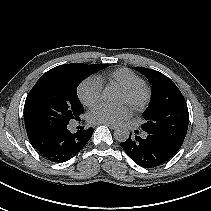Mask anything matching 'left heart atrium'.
<instances>
[{
	"mask_svg": "<svg viewBox=\"0 0 211 211\" xmlns=\"http://www.w3.org/2000/svg\"><path fill=\"white\" fill-rule=\"evenodd\" d=\"M131 114L128 106L112 107L107 104H100L94 107L88 115L90 122L95 124H114L126 119Z\"/></svg>",
	"mask_w": 211,
	"mask_h": 211,
	"instance_id": "1",
	"label": "left heart atrium"
}]
</instances>
